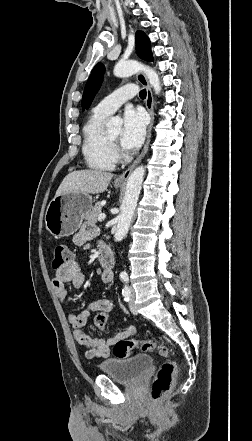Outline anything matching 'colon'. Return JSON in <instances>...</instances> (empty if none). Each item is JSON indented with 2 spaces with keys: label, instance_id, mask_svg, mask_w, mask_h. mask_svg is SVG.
<instances>
[{
  "label": "colon",
  "instance_id": "obj_1",
  "mask_svg": "<svg viewBox=\"0 0 252 441\" xmlns=\"http://www.w3.org/2000/svg\"><path fill=\"white\" fill-rule=\"evenodd\" d=\"M73 259L72 252L66 245H57L54 250L52 267L59 269ZM113 311V304L108 303L103 309L96 312L93 319V326L97 329H103L108 324ZM140 349L143 352H158L167 360L160 366L152 383L151 397L155 403L161 402L171 391L177 362L172 358L170 351L163 345H159L152 340L137 341L134 339H123L114 346V355L119 358H125L132 354L134 349Z\"/></svg>",
  "mask_w": 252,
  "mask_h": 441
}]
</instances>
